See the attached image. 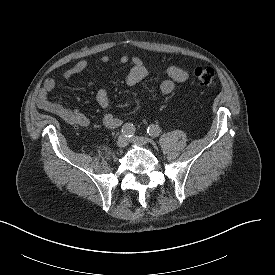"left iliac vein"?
Returning a JSON list of instances; mask_svg holds the SVG:
<instances>
[{
    "label": "left iliac vein",
    "instance_id": "obj_1",
    "mask_svg": "<svg viewBox=\"0 0 275 275\" xmlns=\"http://www.w3.org/2000/svg\"><path fill=\"white\" fill-rule=\"evenodd\" d=\"M130 141L139 146H146L149 143V139L142 136H134L130 139Z\"/></svg>",
    "mask_w": 275,
    "mask_h": 275
}]
</instances>
